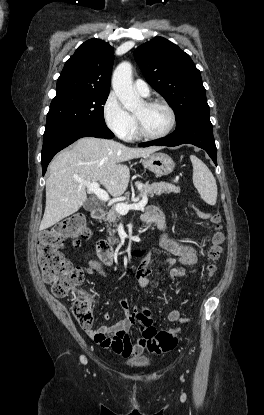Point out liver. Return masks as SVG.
Masks as SVG:
<instances>
[{
    "mask_svg": "<svg viewBox=\"0 0 264 415\" xmlns=\"http://www.w3.org/2000/svg\"><path fill=\"white\" fill-rule=\"evenodd\" d=\"M160 147H127L119 142L84 137L60 152L50 163L46 180V207L40 230L77 212L87 200L80 181L100 182L113 197L127 189L130 170L123 162L148 156Z\"/></svg>",
    "mask_w": 264,
    "mask_h": 415,
    "instance_id": "obj_1",
    "label": "liver"
}]
</instances>
